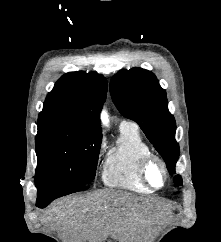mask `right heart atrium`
<instances>
[{"mask_svg": "<svg viewBox=\"0 0 221 242\" xmlns=\"http://www.w3.org/2000/svg\"><path fill=\"white\" fill-rule=\"evenodd\" d=\"M103 149V143L101 142L98 146L97 154L100 155Z\"/></svg>", "mask_w": 221, "mask_h": 242, "instance_id": "1", "label": "right heart atrium"}]
</instances>
